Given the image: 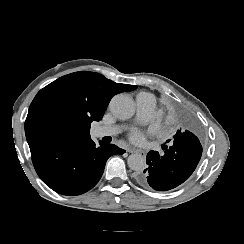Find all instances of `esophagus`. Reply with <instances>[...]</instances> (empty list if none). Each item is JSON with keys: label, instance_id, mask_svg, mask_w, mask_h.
<instances>
[{"label": "esophagus", "instance_id": "34e87169", "mask_svg": "<svg viewBox=\"0 0 244 244\" xmlns=\"http://www.w3.org/2000/svg\"><path fill=\"white\" fill-rule=\"evenodd\" d=\"M126 151H127L128 153H139V154H141V155H145L144 151L136 150L135 148L130 147V146H127V147H126Z\"/></svg>", "mask_w": 244, "mask_h": 244}]
</instances>
